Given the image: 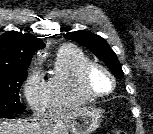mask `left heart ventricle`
I'll use <instances>...</instances> for the list:
<instances>
[{"mask_svg": "<svg viewBox=\"0 0 153 134\" xmlns=\"http://www.w3.org/2000/svg\"><path fill=\"white\" fill-rule=\"evenodd\" d=\"M91 88L98 93L108 92L112 83L110 78L100 70H95L90 77Z\"/></svg>", "mask_w": 153, "mask_h": 134, "instance_id": "obj_1", "label": "left heart ventricle"}]
</instances>
